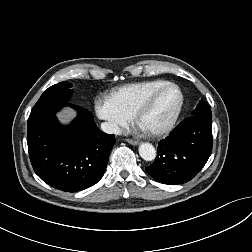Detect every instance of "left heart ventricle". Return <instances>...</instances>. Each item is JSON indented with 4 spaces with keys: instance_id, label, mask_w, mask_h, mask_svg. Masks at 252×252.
Listing matches in <instances>:
<instances>
[{
    "instance_id": "left-heart-ventricle-1",
    "label": "left heart ventricle",
    "mask_w": 252,
    "mask_h": 252,
    "mask_svg": "<svg viewBox=\"0 0 252 252\" xmlns=\"http://www.w3.org/2000/svg\"><path fill=\"white\" fill-rule=\"evenodd\" d=\"M180 102V93L170 87L162 91L142 118V127L147 130L159 129L172 118Z\"/></svg>"
}]
</instances>
